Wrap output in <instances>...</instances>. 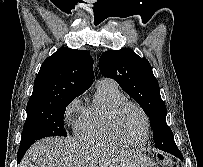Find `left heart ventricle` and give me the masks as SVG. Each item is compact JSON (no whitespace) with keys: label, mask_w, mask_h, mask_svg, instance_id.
I'll return each instance as SVG.
<instances>
[{"label":"left heart ventricle","mask_w":203,"mask_h":167,"mask_svg":"<svg viewBox=\"0 0 203 167\" xmlns=\"http://www.w3.org/2000/svg\"><path fill=\"white\" fill-rule=\"evenodd\" d=\"M118 129L128 141H140L145 133V124L141 113L133 107H127L119 116Z\"/></svg>","instance_id":"1"}]
</instances>
